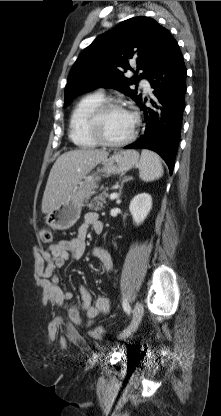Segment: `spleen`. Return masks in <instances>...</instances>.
<instances>
[{
    "instance_id": "obj_1",
    "label": "spleen",
    "mask_w": 221,
    "mask_h": 416,
    "mask_svg": "<svg viewBox=\"0 0 221 416\" xmlns=\"http://www.w3.org/2000/svg\"><path fill=\"white\" fill-rule=\"evenodd\" d=\"M138 168L139 177L145 182L154 181L163 175V166L159 156L147 149L141 152Z\"/></svg>"
}]
</instances>
